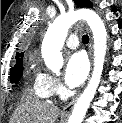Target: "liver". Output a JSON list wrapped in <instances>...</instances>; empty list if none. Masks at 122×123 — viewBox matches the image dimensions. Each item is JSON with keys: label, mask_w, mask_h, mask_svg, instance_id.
Segmentation results:
<instances>
[{"label": "liver", "mask_w": 122, "mask_h": 123, "mask_svg": "<svg viewBox=\"0 0 122 123\" xmlns=\"http://www.w3.org/2000/svg\"><path fill=\"white\" fill-rule=\"evenodd\" d=\"M58 115L57 106L30 100L14 111L10 123H56Z\"/></svg>", "instance_id": "liver-1"}]
</instances>
